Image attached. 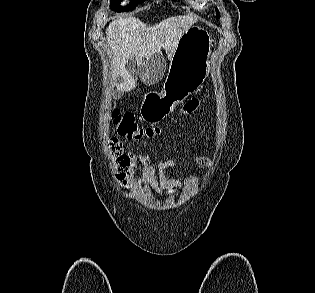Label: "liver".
Masks as SVG:
<instances>
[{
  "label": "liver",
  "instance_id": "1",
  "mask_svg": "<svg viewBox=\"0 0 315 293\" xmlns=\"http://www.w3.org/2000/svg\"><path fill=\"white\" fill-rule=\"evenodd\" d=\"M197 22L189 16H173L154 26L147 25L135 17L112 21L107 30V40L113 55V72L121 77L117 89L128 92L135 87L134 77L126 70L129 60L138 63L160 53L163 48L170 60L183 33Z\"/></svg>",
  "mask_w": 315,
  "mask_h": 293
}]
</instances>
